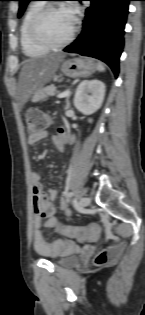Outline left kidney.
<instances>
[{
  "label": "left kidney",
  "mask_w": 145,
  "mask_h": 315,
  "mask_svg": "<svg viewBox=\"0 0 145 315\" xmlns=\"http://www.w3.org/2000/svg\"><path fill=\"white\" fill-rule=\"evenodd\" d=\"M105 84L97 79L82 81L75 93L74 106L84 115L96 112L103 103ZM89 122H92L89 119Z\"/></svg>",
  "instance_id": "5707ae66"
}]
</instances>
